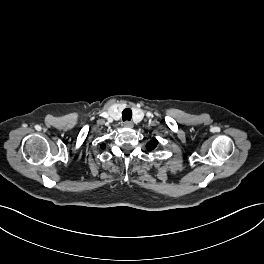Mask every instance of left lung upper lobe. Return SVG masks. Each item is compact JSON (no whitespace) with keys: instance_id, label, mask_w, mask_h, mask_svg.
Here are the masks:
<instances>
[{"instance_id":"left-lung-upper-lobe-1","label":"left lung upper lobe","mask_w":264,"mask_h":264,"mask_svg":"<svg viewBox=\"0 0 264 264\" xmlns=\"http://www.w3.org/2000/svg\"><path fill=\"white\" fill-rule=\"evenodd\" d=\"M157 144H158V141L155 138H153L151 141L147 143L146 148L148 150H153L156 148Z\"/></svg>"}]
</instances>
